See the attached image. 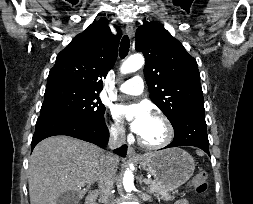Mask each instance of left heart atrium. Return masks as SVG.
Returning a JSON list of instances; mask_svg holds the SVG:
<instances>
[{
	"label": "left heart atrium",
	"instance_id": "39dd6f15",
	"mask_svg": "<svg viewBox=\"0 0 253 204\" xmlns=\"http://www.w3.org/2000/svg\"><path fill=\"white\" fill-rule=\"evenodd\" d=\"M114 113L121 120L130 118L128 125L138 135L143 131L147 122L152 117L149 108L144 104L118 105L115 107Z\"/></svg>",
	"mask_w": 253,
	"mask_h": 204
}]
</instances>
